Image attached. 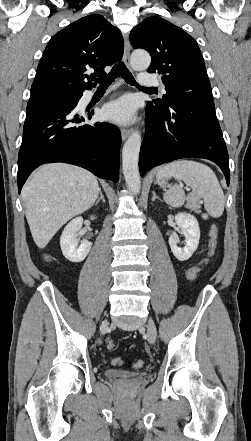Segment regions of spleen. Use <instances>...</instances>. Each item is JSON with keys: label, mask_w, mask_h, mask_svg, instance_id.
Instances as JSON below:
<instances>
[{"label": "spleen", "mask_w": 251, "mask_h": 441, "mask_svg": "<svg viewBox=\"0 0 251 441\" xmlns=\"http://www.w3.org/2000/svg\"><path fill=\"white\" fill-rule=\"evenodd\" d=\"M157 181L161 187L166 185L165 179L174 177L190 186L192 192L185 195L177 184L169 186L164 193V201L172 207H181L185 201L196 205L204 200V207L213 218L223 214L225 197L215 173L207 165L193 160H177L170 162L157 171Z\"/></svg>", "instance_id": "spleen-1"}]
</instances>
